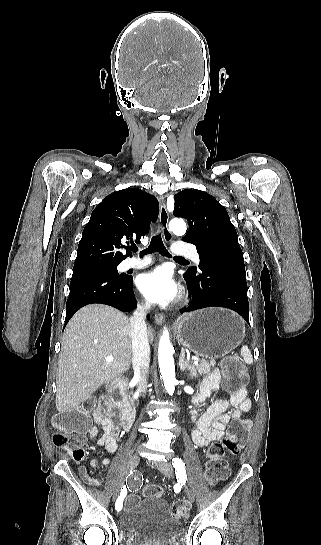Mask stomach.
I'll return each mask as SVG.
<instances>
[{
	"instance_id": "stomach-1",
	"label": "stomach",
	"mask_w": 321,
	"mask_h": 545,
	"mask_svg": "<svg viewBox=\"0 0 321 545\" xmlns=\"http://www.w3.org/2000/svg\"><path fill=\"white\" fill-rule=\"evenodd\" d=\"M177 341L196 357L220 359L236 349L245 337V325L229 309H201L186 313L175 323Z\"/></svg>"
}]
</instances>
